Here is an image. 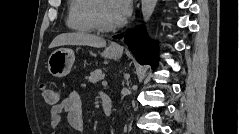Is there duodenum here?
<instances>
[{"label":"duodenum","mask_w":239,"mask_h":134,"mask_svg":"<svg viewBox=\"0 0 239 134\" xmlns=\"http://www.w3.org/2000/svg\"><path fill=\"white\" fill-rule=\"evenodd\" d=\"M101 104L103 112L106 116H111L113 111V103L109 96L106 94L101 95Z\"/></svg>","instance_id":"obj_1"}]
</instances>
